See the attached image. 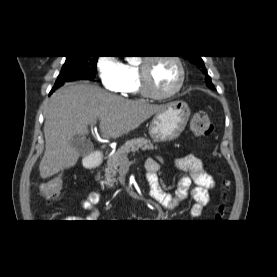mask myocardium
Returning a JSON list of instances; mask_svg holds the SVG:
<instances>
[{
  "label": "myocardium",
  "mask_w": 277,
  "mask_h": 277,
  "mask_svg": "<svg viewBox=\"0 0 277 277\" xmlns=\"http://www.w3.org/2000/svg\"><path fill=\"white\" fill-rule=\"evenodd\" d=\"M169 60L172 61L179 72L178 81L175 87L167 93H157L152 90L149 82V73H150V66L153 62L157 60ZM186 77L185 67L181 58L175 55H159V56H151L145 57L143 62L139 65V82H140V91L141 93L149 98L156 99V100H164L169 99L179 93L184 85Z\"/></svg>",
  "instance_id": "1"
}]
</instances>
